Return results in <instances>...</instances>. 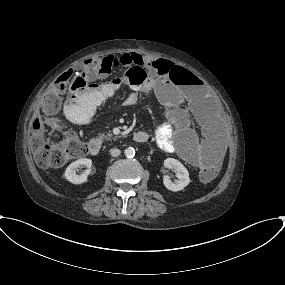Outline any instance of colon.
<instances>
[{"label":"colon","mask_w":285,"mask_h":285,"mask_svg":"<svg viewBox=\"0 0 285 285\" xmlns=\"http://www.w3.org/2000/svg\"><path fill=\"white\" fill-rule=\"evenodd\" d=\"M122 64L115 56L103 59H90L80 71L76 73H63L54 82L53 87L44 95L39 102V114L36 117L30 133V146L35 162L41 167L62 166L70 160L84 157L87 154L86 145L79 140L74 132L67 137L58 138L57 129L59 121L56 114L61 108L62 97L67 91L82 88L91 80L104 78L111 75ZM126 70L119 78V82L136 88H144L148 84L146 67L149 63L139 61L138 63H123ZM153 65L162 75L171 77L174 83L180 87L188 85L192 75L189 71L182 69L170 61L157 60ZM47 129L51 134L47 135ZM220 169L217 161L210 166L201 169L200 176L203 180L213 179Z\"/></svg>","instance_id":"colon-1"}]
</instances>
